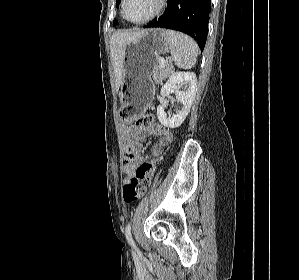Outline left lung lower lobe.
<instances>
[{"mask_svg": "<svg viewBox=\"0 0 299 280\" xmlns=\"http://www.w3.org/2000/svg\"><path fill=\"white\" fill-rule=\"evenodd\" d=\"M210 6V0H168L164 14L144 27L184 32L193 37L203 50L208 33Z\"/></svg>", "mask_w": 299, "mask_h": 280, "instance_id": "obj_1", "label": "left lung lower lobe"}]
</instances>
